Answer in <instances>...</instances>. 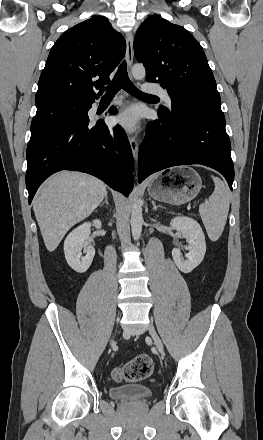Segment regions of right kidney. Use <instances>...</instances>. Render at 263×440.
Returning <instances> with one entry per match:
<instances>
[{"mask_svg":"<svg viewBox=\"0 0 263 440\" xmlns=\"http://www.w3.org/2000/svg\"><path fill=\"white\" fill-rule=\"evenodd\" d=\"M91 226L100 229L101 221L95 219L92 223H83L71 231L64 241L65 259L68 265L78 273H84L88 270L95 255L94 247L84 245L89 238ZM83 248L86 253L85 257H81Z\"/></svg>","mask_w":263,"mask_h":440,"instance_id":"ca27d5eb","label":"right kidney"}]
</instances>
